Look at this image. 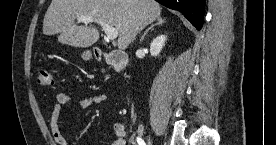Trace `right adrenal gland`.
Instances as JSON below:
<instances>
[{
  "label": "right adrenal gland",
  "mask_w": 276,
  "mask_h": 145,
  "mask_svg": "<svg viewBox=\"0 0 276 145\" xmlns=\"http://www.w3.org/2000/svg\"><path fill=\"white\" fill-rule=\"evenodd\" d=\"M164 22H165L164 19H161V18L158 19V22H157V23L151 25V26L144 32V34H143V36L141 37L140 41H143L144 38H145V36L147 35V33H148L150 30H152L155 26H157V25H162Z\"/></svg>",
  "instance_id": "obj_1"
}]
</instances>
